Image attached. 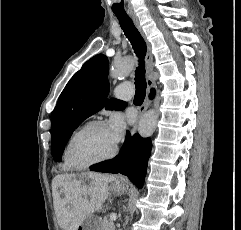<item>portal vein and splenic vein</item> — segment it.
<instances>
[{"label": "portal vein and splenic vein", "mask_w": 241, "mask_h": 230, "mask_svg": "<svg viewBox=\"0 0 241 230\" xmlns=\"http://www.w3.org/2000/svg\"><path fill=\"white\" fill-rule=\"evenodd\" d=\"M117 219V215L115 214V213H112L111 215H110V220L111 221H115Z\"/></svg>", "instance_id": "18ae733b"}]
</instances>
